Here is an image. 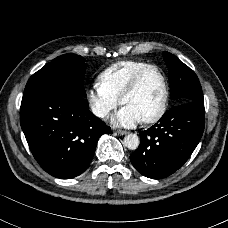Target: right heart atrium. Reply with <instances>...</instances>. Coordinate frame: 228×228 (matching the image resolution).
I'll list each match as a JSON object with an SVG mask.
<instances>
[{
	"mask_svg": "<svg viewBox=\"0 0 228 228\" xmlns=\"http://www.w3.org/2000/svg\"><path fill=\"white\" fill-rule=\"evenodd\" d=\"M87 101L92 112L101 119L106 118L120 103L119 99L105 91L97 81L88 89Z\"/></svg>",
	"mask_w": 228,
	"mask_h": 228,
	"instance_id": "right-heart-atrium-1",
	"label": "right heart atrium"
}]
</instances>
